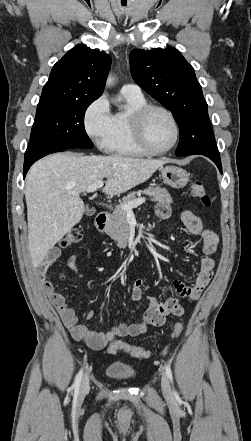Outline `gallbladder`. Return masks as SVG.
Instances as JSON below:
<instances>
[{
	"mask_svg": "<svg viewBox=\"0 0 251 441\" xmlns=\"http://www.w3.org/2000/svg\"><path fill=\"white\" fill-rule=\"evenodd\" d=\"M94 213H95V209L94 208H91L90 210L87 211L88 215H92Z\"/></svg>",
	"mask_w": 251,
	"mask_h": 441,
	"instance_id": "1",
	"label": "gallbladder"
}]
</instances>
